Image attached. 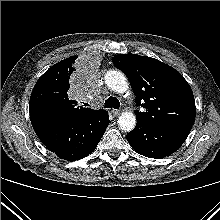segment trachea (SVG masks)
Segmentation results:
<instances>
[{"label":"trachea","mask_w":220,"mask_h":220,"mask_svg":"<svg viewBox=\"0 0 220 220\" xmlns=\"http://www.w3.org/2000/svg\"><path fill=\"white\" fill-rule=\"evenodd\" d=\"M105 108H114V109H119L120 107V102L117 98L115 97H109L106 101H105Z\"/></svg>","instance_id":"trachea-1"}]
</instances>
